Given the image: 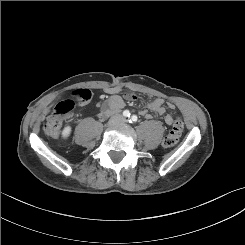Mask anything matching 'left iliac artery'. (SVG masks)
Returning <instances> with one entry per match:
<instances>
[{
	"instance_id": "1",
	"label": "left iliac artery",
	"mask_w": 245,
	"mask_h": 245,
	"mask_svg": "<svg viewBox=\"0 0 245 245\" xmlns=\"http://www.w3.org/2000/svg\"><path fill=\"white\" fill-rule=\"evenodd\" d=\"M137 120H138L137 116L136 115H132L130 120H129V122L130 123H135V122H137Z\"/></svg>"
}]
</instances>
